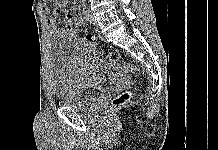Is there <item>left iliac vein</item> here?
<instances>
[{"mask_svg": "<svg viewBox=\"0 0 218 150\" xmlns=\"http://www.w3.org/2000/svg\"><path fill=\"white\" fill-rule=\"evenodd\" d=\"M85 14H86V17H85V20L87 21V22H89L90 24H93V25H97V22H96V20L94 19V17H93V15H92V13H91V11L90 10H86L85 11Z\"/></svg>", "mask_w": 218, "mask_h": 150, "instance_id": "4c4485c4", "label": "left iliac vein"}]
</instances>
